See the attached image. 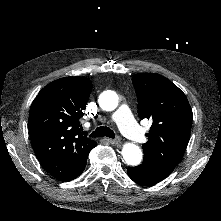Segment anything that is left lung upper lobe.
Returning a JSON list of instances; mask_svg holds the SVG:
<instances>
[{
  "mask_svg": "<svg viewBox=\"0 0 221 221\" xmlns=\"http://www.w3.org/2000/svg\"><path fill=\"white\" fill-rule=\"evenodd\" d=\"M138 115L153 121L144 159L170 174L182 159L189 141L193 114L185 94L169 79L155 73L132 78Z\"/></svg>",
  "mask_w": 221,
  "mask_h": 221,
  "instance_id": "obj_1",
  "label": "left lung upper lobe"
}]
</instances>
